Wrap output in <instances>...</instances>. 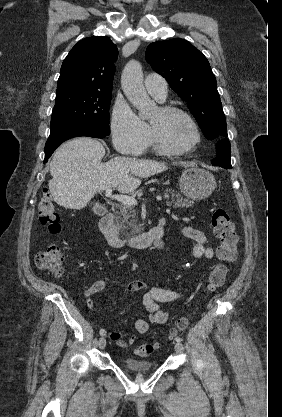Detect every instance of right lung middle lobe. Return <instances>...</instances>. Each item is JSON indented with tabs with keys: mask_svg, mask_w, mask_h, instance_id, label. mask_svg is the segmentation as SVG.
Wrapping results in <instances>:
<instances>
[{
	"mask_svg": "<svg viewBox=\"0 0 282 417\" xmlns=\"http://www.w3.org/2000/svg\"><path fill=\"white\" fill-rule=\"evenodd\" d=\"M111 92L72 90L56 93L51 132L72 125L87 126L106 135L109 130Z\"/></svg>",
	"mask_w": 282,
	"mask_h": 417,
	"instance_id": "obj_1",
	"label": "right lung middle lobe"
}]
</instances>
